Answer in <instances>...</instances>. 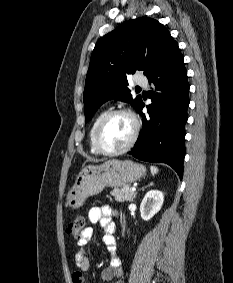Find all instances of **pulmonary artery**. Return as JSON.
Masks as SVG:
<instances>
[{
    "label": "pulmonary artery",
    "instance_id": "1",
    "mask_svg": "<svg viewBox=\"0 0 233 283\" xmlns=\"http://www.w3.org/2000/svg\"><path fill=\"white\" fill-rule=\"evenodd\" d=\"M136 84L139 86L147 87L148 80L145 77L140 76L136 79Z\"/></svg>",
    "mask_w": 233,
    "mask_h": 283
}]
</instances>
